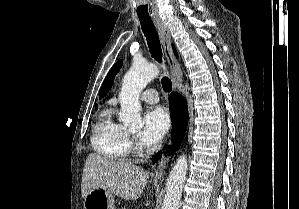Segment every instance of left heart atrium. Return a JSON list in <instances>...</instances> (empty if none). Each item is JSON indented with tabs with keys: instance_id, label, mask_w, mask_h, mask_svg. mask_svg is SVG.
<instances>
[{
	"instance_id": "39dd6f15",
	"label": "left heart atrium",
	"mask_w": 299,
	"mask_h": 209,
	"mask_svg": "<svg viewBox=\"0 0 299 209\" xmlns=\"http://www.w3.org/2000/svg\"><path fill=\"white\" fill-rule=\"evenodd\" d=\"M170 119L162 107L150 109L144 116V126L140 133V141L144 146L158 144L166 134Z\"/></svg>"
}]
</instances>
